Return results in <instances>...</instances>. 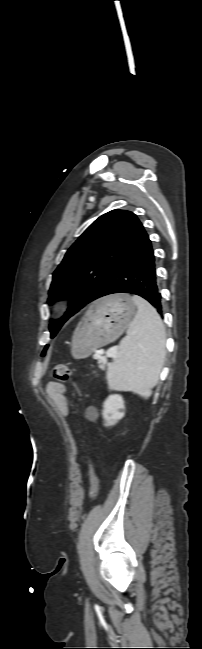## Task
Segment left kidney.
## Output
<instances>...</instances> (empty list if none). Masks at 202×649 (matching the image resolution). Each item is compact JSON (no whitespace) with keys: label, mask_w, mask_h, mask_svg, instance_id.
<instances>
[{"label":"left kidney","mask_w":202,"mask_h":649,"mask_svg":"<svg viewBox=\"0 0 202 649\" xmlns=\"http://www.w3.org/2000/svg\"><path fill=\"white\" fill-rule=\"evenodd\" d=\"M124 400L119 394L109 395L103 403V419L106 426H112L125 415Z\"/></svg>","instance_id":"1"}]
</instances>
